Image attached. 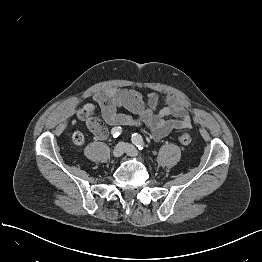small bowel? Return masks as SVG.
Masks as SVG:
<instances>
[{"label":"small bowel","instance_id":"obj_1","mask_svg":"<svg viewBox=\"0 0 262 262\" xmlns=\"http://www.w3.org/2000/svg\"><path fill=\"white\" fill-rule=\"evenodd\" d=\"M94 103H86L78 107L74 116L84 122L93 137L104 140L108 136L106 126L94 116L98 105L104 121L114 127L138 126L145 124L152 133V138L159 141L171 131L190 127L192 119L186 108V101L176 94L165 99V106L157 110L160 96L150 91L145 99L138 91L125 88L106 87L93 97ZM125 109L128 113L118 112Z\"/></svg>","mask_w":262,"mask_h":262}]
</instances>
